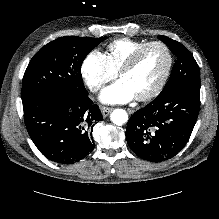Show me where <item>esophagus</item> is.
Wrapping results in <instances>:
<instances>
[{
  "label": "esophagus",
  "mask_w": 219,
  "mask_h": 219,
  "mask_svg": "<svg viewBox=\"0 0 219 219\" xmlns=\"http://www.w3.org/2000/svg\"><path fill=\"white\" fill-rule=\"evenodd\" d=\"M113 110V108H109V107H102L101 111H102V116L105 118L107 117L110 112Z\"/></svg>",
  "instance_id": "34e87169"
}]
</instances>
